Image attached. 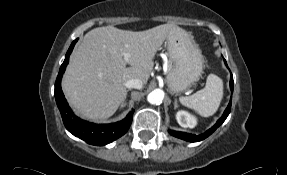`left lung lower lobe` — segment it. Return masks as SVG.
Returning <instances> with one entry per match:
<instances>
[{
  "mask_svg": "<svg viewBox=\"0 0 287 175\" xmlns=\"http://www.w3.org/2000/svg\"><path fill=\"white\" fill-rule=\"evenodd\" d=\"M225 61V60H224ZM225 64L227 66V63L225 61ZM233 76L231 75L230 78V88H231V92H233ZM230 109H231V101L229 102L226 110L224 111L222 117L216 122V124L211 127L209 130H207L205 133L201 134V135H194V134H189V133H185V132H179V131H173V130H169L168 132L180 139L189 141V142H198L201 140H204L205 138H207L209 135H211L224 121L225 119L228 117L229 113H230Z\"/></svg>",
  "mask_w": 287,
  "mask_h": 175,
  "instance_id": "left-lung-lower-lobe-1",
  "label": "left lung lower lobe"
}]
</instances>
